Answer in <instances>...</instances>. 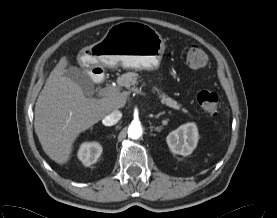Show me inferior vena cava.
Returning <instances> with one entry per match:
<instances>
[{
  "mask_svg": "<svg viewBox=\"0 0 277 218\" xmlns=\"http://www.w3.org/2000/svg\"><path fill=\"white\" fill-rule=\"evenodd\" d=\"M121 117L122 113L119 110H114L103 118L102 123L105 126H112L115 125L121 119Z\"/></svg>",
  "mask_w": 277,
  "mask_h": 218,
  "instance_id": "inferior-vena-cava-1",
  "label": "inferior vena cava"
}]
</instances>
